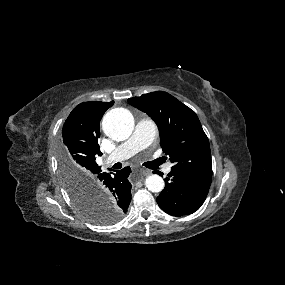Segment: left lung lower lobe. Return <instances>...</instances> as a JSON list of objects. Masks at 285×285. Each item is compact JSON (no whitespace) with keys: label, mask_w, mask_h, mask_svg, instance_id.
<instances>
[{"label":"left lung lower lobe","mask_w":285,"mask_h":285,"mask_svg":"<svg viewBox=\"0 0 285 285\" xmlns=\"http://www.w3.org/2000/svg\"><path fill=\"white\" fill-rule=\"evenodd\" d=\"M155 173L160 174L159 171ZM168 176L165 179V188L157 197L160 208L169 215L178 217L197 211L206 199L212 178L173 170Z\"/></svg>","instance_id":"left-lung-lower-lobe-1"}]
</instances>
